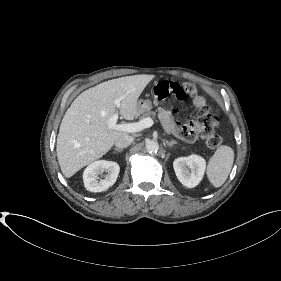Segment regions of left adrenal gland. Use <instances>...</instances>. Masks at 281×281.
<instances>
[{"mask_svg": "<svg viewBox=\"0 0 281 281\" xmlns=\"http://www.w3.org/2000/svg\"><path fill=\"white\" fill-rule=\"evenodd\" d=\"M168 147H173V145L177 144L175 140L166 141Z\"/></svg>", "mask_w": 281, "mask_h": 281, "instance_id": "left-adrenal-gland-1", "label": "left adrenal gland"}]
</instances>
